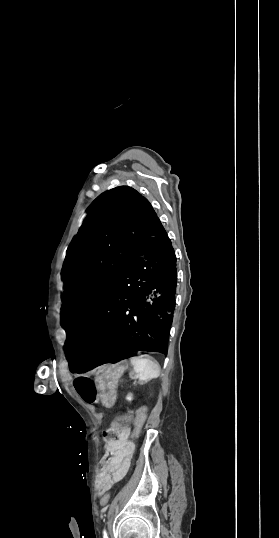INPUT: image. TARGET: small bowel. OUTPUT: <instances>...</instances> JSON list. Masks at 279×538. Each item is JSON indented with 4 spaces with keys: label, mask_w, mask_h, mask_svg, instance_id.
<instances>
[{
    "label": "small bowel",
    "mask_w": 279,
    "mask_h": 538,
    "mask_svg": "<svg viewBox=\"0 0 279 538\" xmlns=\"http://www.w3.org/2000/svg\"><path fill=\"white\" fill-rule=\"evenodd\" d=\"M74 387L79 396L88 404L97 401L93 382L90 379L80 377L74 382ZM132 432L130 428L122 430L119 439L110 446L111 458L106 477L97 481V488L100 493H105L127 473L134 452V443L131 440Z\"/></svg>",
    "instance_id": "obj_1"
}]
</instances>
